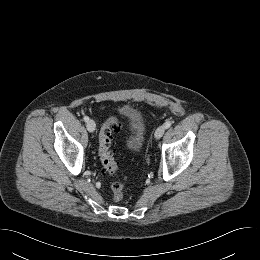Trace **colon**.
I'll use <instances>...</instances> for the list:
<instances>
[{
    "mask_svg": "<svg viewBox=\"0 0 260 260\" xmlns=\"http://www.w3.org/2000/svg\"><path fill=\"white\" fill-rule=\"evenodd\" d=\"M123 125L116 117L107 119L101 127L99 133L98 155L102 167L108 175H115L118 171V165L114 157L113 136L120 132ZM125 184L121 181H115L111 185L113 199L120 202L123 199Z\"/></svg>",
    "mask_w": 260,
    "mask_h": 260,
    "instance_id": "colon-1",
    "label": "colon"
}]
</instances>
